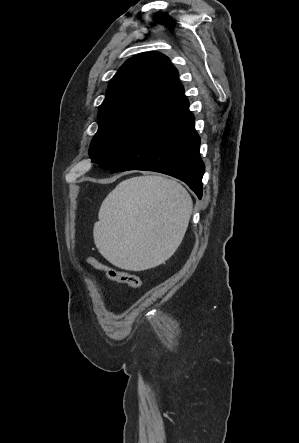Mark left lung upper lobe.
<instances>
[{"instance_id":"obj_1","label":"left lung upper lobe","mask_w":299,"mask_h":443,"mask_svg":"<svg viewBox=\"0 0 299 443\" xmlns=\"http://www.w3.org/2000/svg\"><path fill=\"white\" fill-rule=\"evenodd\" d=\"M178 71L157 52L128 59L111 79L98 114L99 128L89 154L101 168H112L183 94Z\"/></svg>"}]
</instances>
